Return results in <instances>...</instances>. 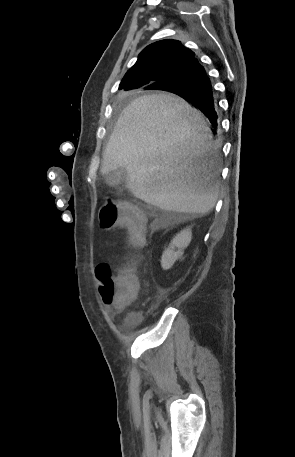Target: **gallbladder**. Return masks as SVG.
Masks as SVG:
<instances>
[{
	"mask_svg": "<svg viewBox=\"0 0 295 457\" xmlns=\"http://www.w3.org/2000/svg\"><path fill=\"white\" fill-rule=\"evenodd\" d=\"M128 174L125 168H119L106 175L105 179L108 185L117 186L127 181Z\"/></svg>",
	"mask_w": 295,
	"mask_h": 457,
	"instance_id": "bac80fb5",
	"label": "gallbladder"
}]
</instances>
